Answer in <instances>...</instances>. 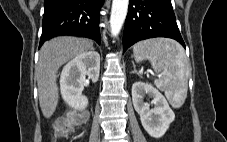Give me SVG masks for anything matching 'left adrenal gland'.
Segmentation results:
<instances>
[{"mask_svg":"<svg viewBox=\"0 0 227 142\" xmlns=\"http://www.w3.org/2000/svg\"><path fill=\"white\" fill-rule=\"evenodd\" d=\"M132 73H136V70L134 69V71H132Z\"/></svg>","mask_w":227,"mask_h":142,"instance_id":"obj_1","label":"left adrenal gland"}]
</instances>
